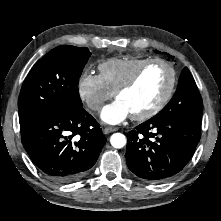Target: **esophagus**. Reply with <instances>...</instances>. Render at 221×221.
I'll list each match as a JSON object with an SVG mask.
<instances>
[{
	"label": "esophagus",
	"mask_w": 221,
	"mask_h": 221,
	"mask_svg": "<svg viewBox=\"0 0 221 221\" xmlns=\"http://www.w3.org/2000/svg\"><path fill=\"white\" fill-rule=\"evenodd\" d=\"M118 129L115 128V127H106L103 129V132L104 134H108V133H111V132H114V131H117Z\"/></svg>",
	"instance_id": "esophagus-1"
}]
</instances>
